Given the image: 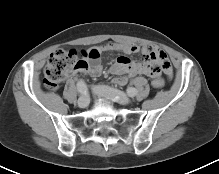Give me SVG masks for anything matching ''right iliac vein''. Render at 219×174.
Segmentation results:
<instances>
[{
	"label": "right iliac vein",
	"instance_id": "right-iliac-vein-1",
	"mask_svg": "<svg viewBox=\"0 0 219 174\" xmlns=\"http://www.w3.org/2000/svg\"><path fill=\"white\" fill-rule=\"evenodd\" d=\"M89 97L87 95H84V96H81L79 99H78V106L80 108H85L88 106L89 104Z\"/></svg>",
	"mask_w": 219,
	"mask_h": 174
}]
</instances>
